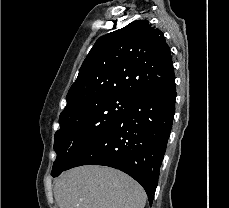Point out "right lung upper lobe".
Wrapping results in <instances>:
<instances>
[{
  "label": "right lung upper lobe",
  "mask_w": 229,
  "mask_h": 208,
  "mask_svg": "<svg viewBox=\"0 0 229 208\" xmlns=\"http://www.w3.org/2000/svg\"><path fill=\"white\" fill-rule=\"evenodd\" d=\"M174 77L170 48L148 20H136L100 37L68 91L60 117L90 100L120 95L134 98Z\"/></svg>",
  "instance_id": "right-lung-upper-lobe-1"
}]
</instances>
